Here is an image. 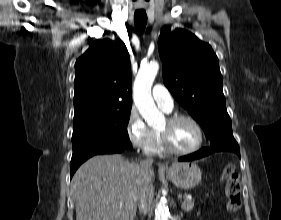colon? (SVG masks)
<instances>
[{
  "label": "colon",
  "instance_id": "obj_1",
  "mask_svg": "<svg viewBox=\"0 0 281 220\" xmlns=\"http://www.w3.org/2000/svg\"><path fill=\"white\" fill-rule=\"evenodd\" d=\"M222 179L226 181L225 195L227 198V210L233 215V220H238L236 214L241 208V183L233 164H228L222 172Z\"/></svg>",
  "mask_w": 281,
  "mask_h": 220
}]
</instances>
